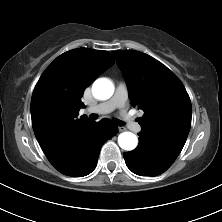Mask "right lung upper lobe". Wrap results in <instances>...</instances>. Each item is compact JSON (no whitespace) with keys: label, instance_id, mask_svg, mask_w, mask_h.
<instances>
[{"label":"right lung upper lobe","instance_id":"cb5924a9","mask_svg":"<svg viewBox=\"0 0 222 222\" xmlns=\"http://www.w3.org/2000/svg\"><path fill=\"white\" fill-rule=\"evenodd\" d=\"M114 64L108 51L78 48L57 57L43 72L31 99L35 136L53 166L67 162L91 122L78 118L84 90Z\"/></svg>","mask_w":222,"mask_h":222}]
</instances>
